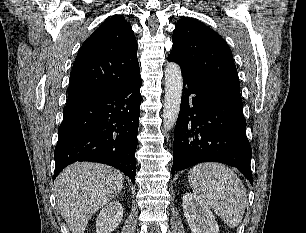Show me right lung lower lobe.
I'll return each mask as SVG.
<instances>
[{"label":"right lung lower lobe","mask_w":306,"mask_h":233,"mask_svg":"<svg viewBox=\"0 0 306 233\" xmlns=\"http://www.w3.org/2000/svg\"><path fill=\"white\" fill-rule=\"evenodd\" d=\"M141 76L106 95L66 106L55 147V179L76 161L100 162L125 173L135 183Z\"/></svg>","instance_id":"right-lung-lower-lobe-1"}]
</instances>
